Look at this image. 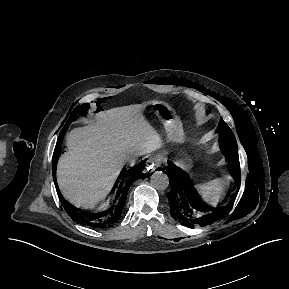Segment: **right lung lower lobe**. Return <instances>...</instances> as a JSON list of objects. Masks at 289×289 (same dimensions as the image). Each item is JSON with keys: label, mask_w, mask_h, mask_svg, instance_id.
<instances>
[{"label": "right lung lower lobe", "mask_w": 289, "mask_h": 289, "mask_svg": "<svg viewBox=\"0 0 289 289\" xmlns=\"http://www.w3.org/2000/svg\"><path fill=\"white\" fill-rule=\"evenodd\" d=\"M66 130L67 128H63V130L59 134L52 163L53 178L57 187L58 196L61 200L62 206L69 214V216H71V218L77 223L93 228L113 227L117 222H119L121 218L122 209L124 207L129 187L135 180L144 177L142 176L143 175L142 171L145 166V161L143 163L141 162L137 166L132 167L129 170H126L121 175L122 177L120 176V179L117 180L116 185L114 187L113 197L109 202L108 206L104 210L98 212H86L79 210L64 200L56 181V165L61 152L60 145L66 133Z\"/></svg>", "instance_id": "right-lung-lower-lobe-1"}]
</instances>
